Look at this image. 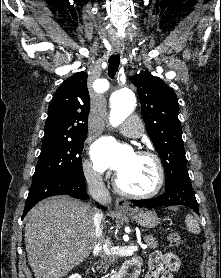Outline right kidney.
<instances>
[{"instance_id": "right-kidney-1", "label": "right kidney", "mask_w": 221, "mask_h": 278, "mask_svg": "<svg viewBox=\"0 0 221 278\" xmlns=\"http://www.w3.org/2000/svg\"><path fill=\"white\" fill-rule=\"evenodd\" d=\"M68 278H81V276L79 275V274H73V275H71L70 277H68Z\"/></svg>"}]
</instances>
